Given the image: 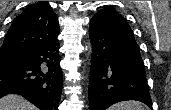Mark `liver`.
Returning a JSON list of instances; mask_svg holds the SVG:
<instances>
[{
    "label": "liver",
    "instance_id": "1",
    "mask_svg": "<svg viewBox=\"0 0 171 110\" xmlns=\"http://www.w3.org/2000/svg\"><path fill=\"white\" fill-rule=\"evenodd\" d=\"M0 110H36V107L21 96L7 95L0 99Z\"/></svg>",
    "mask_w": 171,
    "mask_h": 110
}]
</instances>
